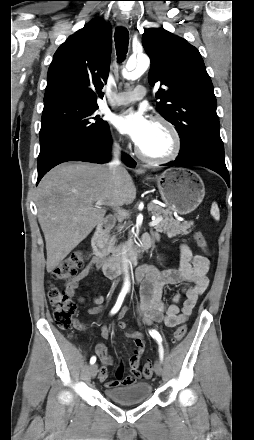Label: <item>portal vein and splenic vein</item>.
<instances>
[{"mask_svg":"<svg viewBox=\"0 0 254 440\" xmlns=\"http://www.w3.org/2000/svg\"><path fill=\"white\" fill-rule=\"evenodd\" d=\"M95 205H96V206H101V205H103V202H102V201H97V202L95 203ZM118 212H119V214L122 215V216H125V217L127 216V213H125L124 210L118 209ZM162 220H163V217H162V216L157 217V218L153 219V220L149 223V226H150V227H154V226L158 225Z\"/></svg>","mask_w":254,"mask_h":440,"instance_id":"18ae733b","label":"portal vein and splenic vein"}]
</instances>
